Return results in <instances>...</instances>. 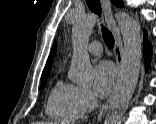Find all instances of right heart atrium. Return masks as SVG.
I'll return each instance as SVG.
<instances>
[{
    "label": "right heart atrium",
    "instance_id": "obj_1",
    "mask_svg": "<svg viewBox=\"0 0 156 124\" xmlns=\"http://www.w3.org/2000/svg\"><path fill=\"white\" fill-rule=\"evenodd\" d=\"M94 105V98L90 90L79 88L76 96V112L77 116L88 114Z\"/></svg>",
    "mask_w": 156,
    "mask_h": 124
}]
</instances>
